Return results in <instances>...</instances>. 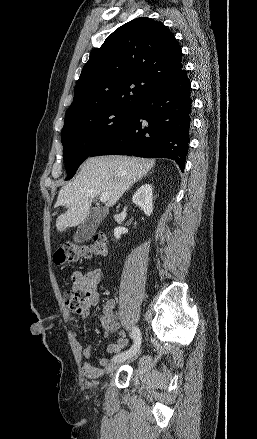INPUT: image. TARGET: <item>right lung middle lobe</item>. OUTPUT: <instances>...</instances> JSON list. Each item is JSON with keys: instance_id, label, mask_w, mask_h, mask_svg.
<instances>
[{"instance_id": "obj_1", "label": "right lung middle lobe", "mask_w": 257, "mask_h": 439, "mask_svg": "<svg viewBox=\"0 0 257 439\" xmlns=\"http://www.w3.org/2000/svg\"><path fill=\"white\" fill-rule=\"evenodd\" d=\"M135 109L106 107L65 120L61 142L67 179L74 176L81 163L103 140L130 120Z\"/></svg>"}]
</instances>
